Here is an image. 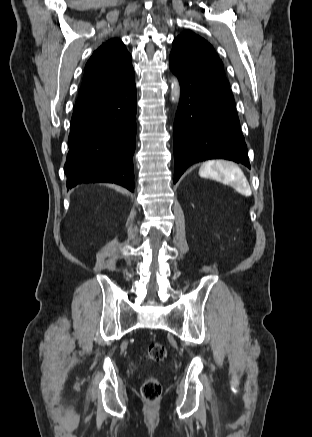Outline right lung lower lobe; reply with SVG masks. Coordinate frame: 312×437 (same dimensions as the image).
Wrapping results in <instances>:
<instances>
[{
  "mask_svg": "<svg viewBox=\"0 0 312 437\" xmlns=\"http://www.w3.org/2000/svg\"><path fill=\"white\" fill-rule=\"evenodd\" d=\"M136 138L134 74L113 91L75 105L64 166L67 189L86 183H116L134 191Z\"/></svg>",
  "mask_w": 312,
  "mask_h": 437,
  "instance_id": "obj_1",
  "label": "right lung lower lobe"
}]
</instances>
